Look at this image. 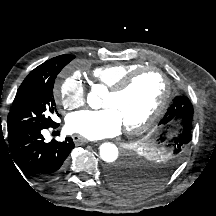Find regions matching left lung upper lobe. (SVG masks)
<instances>
[{"label": "left lung upper lobe", "mask_w": 216, "mask_h": 216, "mask_svg": "<svg viewBox=\"0 0 216 216\" xmlns=\"http://www.w3.org/2000/svg\"><path fill=\"white\" fill-rule=\"evenodd\" d=\"M193 107L187 97L177 96L168 108L159 125L162 132L156 140V145L163 155L176 159L192 138ZM151 184L134 181L133 195L144 193Z\"/></svg>", "instance_id": "5c2ea615"}]
</instances>
